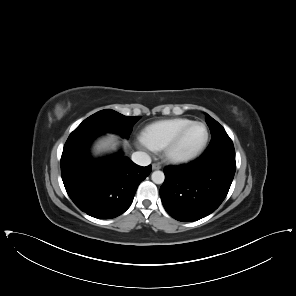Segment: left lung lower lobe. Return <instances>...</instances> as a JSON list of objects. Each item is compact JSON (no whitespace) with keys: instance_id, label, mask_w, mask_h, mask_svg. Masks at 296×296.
Returning <instances> with one entry per match:
<instances>
[{"instance_id":"0a47b994","label":"left lung lower lobe","mask_w":296,"mask_h":296,"mask_svg":"<svg viewBox=\"0 0 296 296\" xmlns=\"http://www.w3.org/2000/svg\"><path fill=\"white\" fill-rule=\"evenodd\" d=\"M236 170L235 154L210 161L200 158L188 165L164 169L160 196L173 218L196 221L214 212L225 199Z\"/></svg>"}]
</instances>
